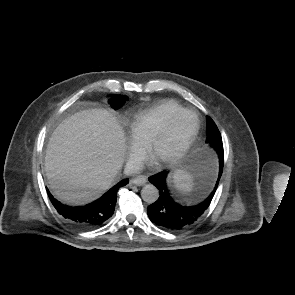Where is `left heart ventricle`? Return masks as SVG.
I'll return each mask as SVG.
<instances>
[{
    "instance_id": "left-heart-ventricle-1",
    "label": "left heart ventricle",
    "mask_w": 295,
    "mask_h": 295,
    "mask_svg": "<svg viewBox=\"0 0 295 295\" xmlns=\"http://www.w3.org/2000/svg\"><path fill=\"white\" fill-rule=\"evenodd\" d=\"M193 123V118L191 116L180 118L175 123L171 132L161 142L155 153V158L160 159L173 154L186 140L193 128Z\"/></svg>"
}]
</instances>
